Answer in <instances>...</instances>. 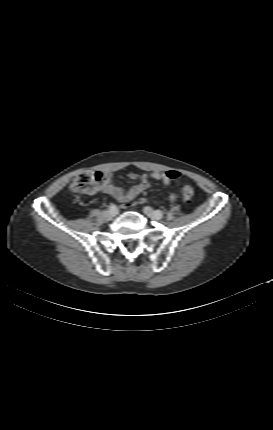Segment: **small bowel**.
Here are the masks:
<instances>
[{
    "label": "small bowel",
    "instance_id": "c3829d8e",
    "mask_svg": "<svg viewBox=\"0 0 273 430\" xmlns=\"http://www.w3.org/2000/svg\"><path fill=\"white\" fill-rule=\"evenodd\" d=\"M129 177L137 181V183L128 190H125L114 184L113 176L110 172H104L102 182L97 187V190L112 196L120 203L126 204L150 186V179L160 181L164 185H169L170 183L178 182L180 178L179 174L175 171L153 172L151 174L130 173ZM169 197L174 199L175 195L170 193Z\"/></svg>",
    "mask_w": 273,
    "mask_h": 430
}]
</instances>
